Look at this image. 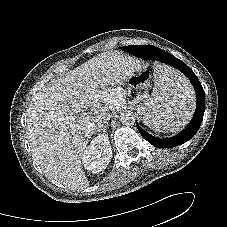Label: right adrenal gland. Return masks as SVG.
Segmentation results:
<instances>
[{"label": "right adrenal gland", "mask_w": 227, "mask_h": 227, "mask_svg": "<svg viewBox=\"0 0 227 227\" xmlns=\"http://www.w3.org/2000/svg\"><path fill=\"white\" fill-rule=\"evenodd\" d=\"M108 125H105L104 128L102 129L103 132H106V128Z\"/></svg>", "instance_id": "2a0ac1e0"}]
</instances>
